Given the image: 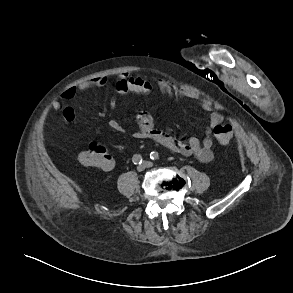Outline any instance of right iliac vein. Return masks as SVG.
Returning <instances> with one entry per match:
<instances>
[{
	"label": "right iliac vein",
	"mask_w": 293,
	"mask_h": 293,
	"mask_svg": "<svg viewBox=\"0 0 293 293\" xmlns=\"http://www.w3.org/2000/svg\"><path fill=\"white\" fill-rule=\"evenodd\" d=\"M138 171H143L145 169V165L144 164H141L137 167Z\"/></svg>",
	"instance_id": "right-iliac-vein-1"
}]
</instances>
